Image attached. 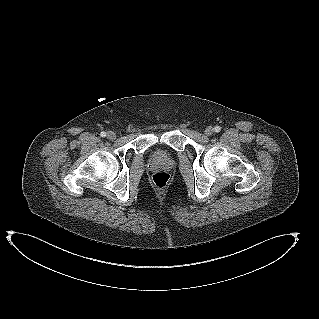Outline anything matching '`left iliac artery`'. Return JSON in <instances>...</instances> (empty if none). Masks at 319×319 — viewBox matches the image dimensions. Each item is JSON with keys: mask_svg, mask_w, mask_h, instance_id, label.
<instances>
[{"mask_svg": "<svg viewBox=\"0 0 319 319\" xmlns=\"http://www.w3.org/2000/svg\"><path fill=\"white\" fill-rule=\"evenodd\" d=\"M214 130H215V132H220V130H221V127L220 126H215V128H214Z\"/></svg>", "mask_w": 319, "mask_h": 319, "instance_id": "left-iliac-artery-1", "label": "left iliac artery"}]
</instances>
